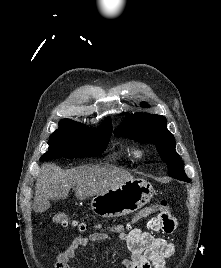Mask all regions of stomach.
<instances>
[{
  "label": "stomach",
  "mask_w": 221,
  "mask_h": 268,
  "mask_svg": "<svg viewBox=\"0 0 221 268\" xmlns=\"http://www.w3.org/2000/svg\"><path fill=\"white\" fill-rule=\"evenodd\" d=\"M154 189L143 179H132L114 189L96 195L91 202L93 212L103 218L125 216L140 209L153 197Z\"/></svg>",
  "instance_id": "obj_1"
}]
</instances>
